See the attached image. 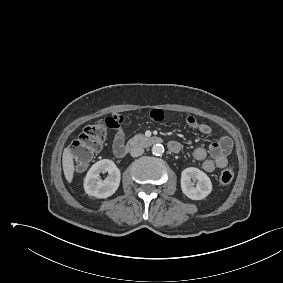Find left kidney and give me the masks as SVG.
Segmentation results:
<instances>
[{
  "instance_id": "obj_1",
  "label": "left kidney",
  "mask_w": 283,
  "mask_h": 283,
  "mask_svg": "<svg viewBox=\"0 0 283 283\" xmlns=\"http://www.w3.org/2000/svg\"><path fill=\"white\" fill-rule=\"evenodd\" d=\"M196 182V185L192 182ZM181 190L192 200H202L212 191V183L206 173L195 167H189L181 173Z\"/></svg>"
}]
</instances>
